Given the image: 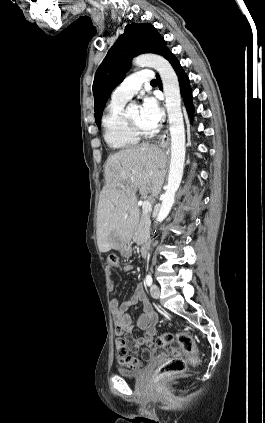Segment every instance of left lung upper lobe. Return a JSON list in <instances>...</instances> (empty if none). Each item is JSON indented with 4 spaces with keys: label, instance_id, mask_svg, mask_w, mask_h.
I'll list each match as a JSON object with an SVG mask.
<instances>
[{
    "label": "left lung upper lobe",
    "instance_id": "1",
    "mask_svg": "<svg viewBox=\"0 0 265 423\" xmlns=\"http://www.w3.org/2000/svg\"><path fill=\"white\" fill-rule=\"evenodd\" d=\"M168 51L164 39L151 24H128L124 34L110 48L97 69L93 82L95 121L99 127L103 107L113 89L125 78L132 58L142 53L164 56Z\"/></svg>",
    "mask_w": 265,
    "mask_h": 423
}]
</instances>
